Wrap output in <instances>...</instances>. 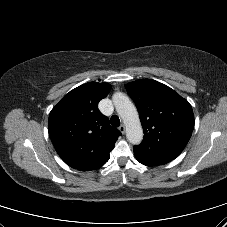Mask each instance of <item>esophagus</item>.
<instances>
[{
    "label": "esophagus",
    "instance_id": "obj_1",
    "mask_svg": "<svg viewBox=\"0 0 227 227\" xmlns=\"http://www.w3.org/2000/svg\"><path fill=\"white\" fill-rule=\"evenodd\" d=\"M119 130H120V132L121 133H125V131H126V127H125V125H121L120 127H119Z\"/></svg>",
    "mask_w": 227,
    "mask_h": 227
}]
</instances>
